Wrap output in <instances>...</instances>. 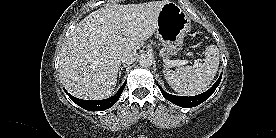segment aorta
<instances>
[{
	"mask_svg": "<svg viewBox=\"0 0 276 138\" xmlns=\"http://www.w3.org/2000/svg\"><path fill=\"white\" fill-rule=\"evenodd\" d=\"M139 64L142 67H150L153 64V58L149 54H143L139 57Z\"/></svg>",
	"mask_w": 276,
	"mask_h": 138,
	"instance_id": "762f6f07",
	"label": "aorta"
}]
</instances>
